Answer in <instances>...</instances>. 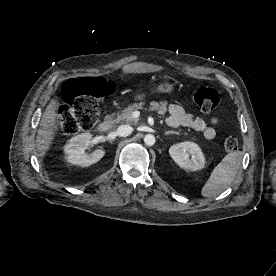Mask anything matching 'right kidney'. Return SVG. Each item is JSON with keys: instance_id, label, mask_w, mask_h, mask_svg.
<instances>
[{"instance_id": "ca27d5eb", "label": "right kidney", "mask_w": 276, "mask_h": 276, "mask_svg": "<svg viewBox=\"0 0 276 276\" xmlns=\"http://www.w3.org/2000/svg\"><path fill=\"white\" fill-rule=\"evenodd\" d=\"M92 134L82 133L72 137L64 146L67 162L78 166H90L98 162L105 154L103 149H97L91 154H85L84 149L89 145Z\"/></svg>"}]
</instances>
